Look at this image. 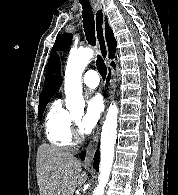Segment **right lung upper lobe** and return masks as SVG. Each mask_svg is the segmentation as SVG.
<instances>
[{"mask_svg": "<svg viewBox=\"0 0 178 195\" xmlns=\"http://www.w3.org/2000/svg\"><path fill=\"white\" fill-rule=\"evenodd\" d=\"M105 36H106V41L109 50V58H114L117 43L113 31L107 23L105 24ZM113 64L114 62L111 63V65ZM61 83H62V78H61L60 60L56 54H53L50 56L47 65L44 87L39 96V105L48 103L51 97L61 87Z\"/></svg>", "mask_w": 178, "mask_h": 195, "instance_id": "right-lung-upper-lobe-1", "label": "right lung upper lobe"}]
</instances>
